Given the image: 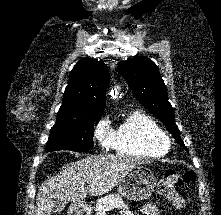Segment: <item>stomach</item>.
<instances>
[{"label":"stomach","mask_w":221,"mask_h":215,"mask_svg":"<svg viewBox=\"0 0 221 215\" xmlns=\"http://www.w3.org/2000/svg\"><path fill=\"white\" fill-rule=\"evenodd\" d=\"M156 180L152 171L143 166H137L129 171L119 182L118 192L127 200L141 201L147 199L154 191ZM75 215H89L86 205H78Z\"/></svg>","instance_id":"stomach-1"}]
</instances>
